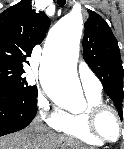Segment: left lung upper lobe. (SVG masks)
Returning <instances> with one entry per match:
<instances>
[{"label": "left lung upper lobe", "mask_w": 124, "mask_h": 149, "mask_svg": "<svg viewBox=\"0 0 124 149\" xmlns=\"http://www.w3.org/2000/svg\"><path fill=\"white\" fill-rule=\"evenodd\" d=\"M88 13L89 18L84 24L83 56L101 80L122 119L124 70L119 46L107 22L91 10Z\"/></svg>", "instance_id": "obj_1"}]
</instances>
